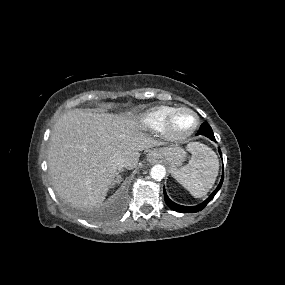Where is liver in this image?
<instances>
[{
    "label": "liver",
    "instance_id": "6515ba94",
    "mask_svg": "<svg viewBox=\"0 0 285 285\" xmlns=\"http://www.w3.org/2000/svg\"><path fill=\"white\" fill-rule=\"evenodd\" d=\"M158 144L129 114L81 109L66 112L55 123L50 137L47 158L52 184L71 205L98 208L117 176L113 159L121 156L126 167L133 169L139 151Z\"/></svg>",
    "mask_w": 285,
    "mask_h": 285
}]
</instances>
